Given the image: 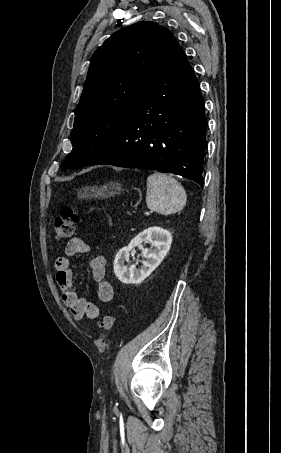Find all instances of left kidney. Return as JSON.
Returning <instances> with one entry per match:
<instances>
[{
	"label": "left kidney",
	"mask_w": 281,
	"mask_h": 453,
	"mask_svg": "<svg viewBox=\"0 0 281 453\" xmlns=\"http://www.w3.org/2000/svg\"><path fill=\"white\" fill-rule=\"evenodd\" d=\"M151 241L154 249H143V257L146 261H142L143 265L141 269L136 267H126L124 261H128L130 253H133L134 247H140L142 243H148ZM172 243V235L167 229H161V227H149L142 233H139L137 237L132 239L128 247H123L118 251L114 261V273L118 277L121 283L126 285H139L146 277H149L156 267L160 265L164 257H166Z\"/></svg>",
	"instance_id": "5707ae66"
}]
</instances>
